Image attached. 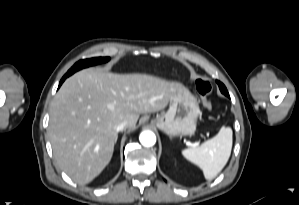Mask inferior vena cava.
I'll return each instance as SVG.
<instances>
[{"label": "inferior vena cava", "mask_w": 299, "mask_h": 205, "mask_svg": "<svg viewBox=\"0 0 299 205\" xmlns=\"http://www.w3.org/2000/svg\"><path fill=\"white\" fill-rule=\"evenodd\" d=\"M126 126H127V122L123 121V122L119 123L118 125H116L115 130L117 132L122 131L124 128H126Z\"/></svg>", "instance_id": "obj_1"}]
</instances>
